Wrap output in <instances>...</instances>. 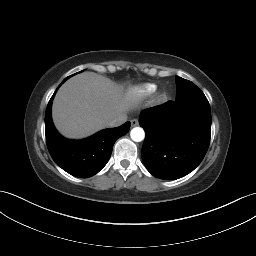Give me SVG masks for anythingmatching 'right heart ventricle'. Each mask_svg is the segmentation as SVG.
Segmentation results:
<instances>
[{
  "label": "right heart ventricle",
  "instance_id": "right-heart-ventricle-1",
  "mask_svg": "<svg viewBox=\"0 0 256 256\" xmlns=\"http://www.w3.org/2000/svg\"><path fill=\"white\" fill-rule=\"evenodd\" d=\"M156 90V86L153 84L144 85L139 89H136V93L139 94H151Z\"/></svg>",
  "mask_w": 256,
  "mask_h": 256
}]
</instances>
